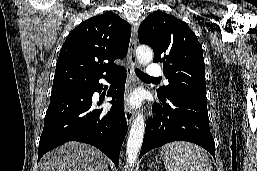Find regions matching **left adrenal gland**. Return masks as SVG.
Masks as SVG:
<instances>
[{
	"label": "left adrenal gland",
	"mask_w": 257,
	"mask_h": 171,
	"mask_svg": "<svg viewBox=\"0 0 257 171\" xmlns=\"http://www.w3.org/2000/svg\"><path fill=\"white\" fill-rule=\"evenodd\" d=\"M150 167H154V168H156V166H155V164H154V163H153V164H151V165H150Z\"/></svg>",
	"instance_id": "obj_1"
}]
</instances>
